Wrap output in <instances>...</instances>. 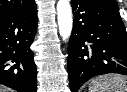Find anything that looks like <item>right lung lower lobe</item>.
Here are the masks:
<instances>
[{
    "label": "right lung lower lobe",
    "mask_w": 127,
    "mask_h": 92,
    "mask_svg": "<svg viewBox=\"0 0 127 92\" xmlns=\"http://www.w3.org/2000/svg\"><path fill=\"white\" fill-rule=\"evenodd\" d=\"M36 29V4L0 16V84L18 92H36L37 69L30 49Z\"/></svg>",
    "instance_id": "right-lung-lower-lobe-1"
}]
</instances>
